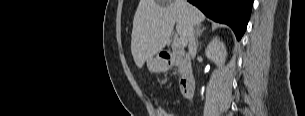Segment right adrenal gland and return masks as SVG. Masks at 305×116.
<instances>
[{"instance_id":"2a0ac1e0","label":"right adrenal gland","mask_w":305,"mask_h":116,"mask_svg":"<svg viewBox=\"0 0 305 116\" xmlns=\"http://www.w3.org/2000/svg\"><path fill=\"white\" fill-rule=\"evenodd\" d=\"M205 29H206V27H200V26H198V27L196 28V32H195V34H196V47L199 46L198 38L201 36L202 32H203Z\"/></svg>"}]
</instances>
